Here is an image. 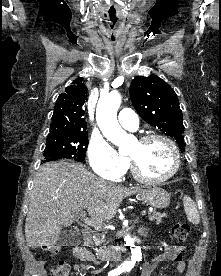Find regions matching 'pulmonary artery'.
<instances>
[{"label": "pulmonary artery", "instance_id": "e3ab8cb5", "mask_svg": "<svg viewBox=\"0 0 221 276\" xmlns=\"http://www.w3.org/2000/svg\"><path fill=\"white\" fill-rule=\"evenodd\" d=\"M118 121L122 127L132 131L136 130L139 126L138 116L133 110L128 108L120 111Z\"/></svg>", "mask_w": 221, "mask_h": 276}]
</instances>
